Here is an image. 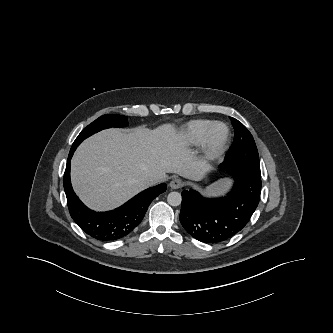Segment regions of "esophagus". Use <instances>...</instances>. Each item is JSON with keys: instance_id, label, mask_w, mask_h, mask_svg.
I'll list each match as a JSON object with an SVG mask.
<instances>
[{"instance_id": "obj_1", "label": "esophagus", "mask_w": 333, "mask_h": 333, "mask_svg": "<svg viewBox=\"0 0 333 333\" xmlns=\"http://www.w3.org/2000/svg\"><path fill=\"white\" fill-rule=\"evenodd\" d=\"M169 185L171 189H179L183 186V182L181 179L175 178L171 180Z\"/></svg>"}]
</instances>
